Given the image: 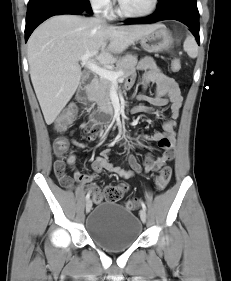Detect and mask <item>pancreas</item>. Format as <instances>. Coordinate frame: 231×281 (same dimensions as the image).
<instances>
[{
  "label": "pancreas",
  "instance_id": "pancreas-1",
  "mask_svg": "<svg viewBox=\"0 0 231 281\" xmlns=\"http://www.w3.org/2000/svg\"><path fill=\"white\" fill-rule=\"evenodd\" d=\"M137 56L126 54L117 63L114 72L122 71L121 79H126L136 72ZM112 81L103 77L96 78L90 88L89 97L98 105V108L104 112H112L113 107L110 99V90Z\"/></svg>",
  "mask_w": 231,
  "mask_h": 281
}]
</instances>
